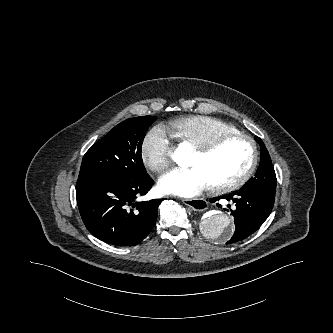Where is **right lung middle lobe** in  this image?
I'll use <instances>...</instances> for the list:
<instances>
[{
	"mask_svg": "<svg viewBox=\"0 0 333 333\" xmlns=\"http://www.w3.org/2000/svg\"><path fill=\"white\" fill-rule=\"evenodd\" d=\"M154 116L127 119L93 144L83 157L79 178L117 177L140 180L147 175L141 148Z\"/></svg>",
	"mask_w": 333,
	"mask_h": 333,
	"instance_id": "1",
	"label": "right lung middle lobe"
}]
</instances>
